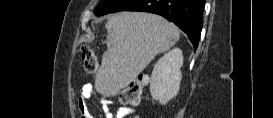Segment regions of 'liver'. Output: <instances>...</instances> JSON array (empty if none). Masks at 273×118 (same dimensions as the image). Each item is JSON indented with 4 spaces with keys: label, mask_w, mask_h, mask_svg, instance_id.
I'll list each match as a JSON object with an SVG mask.
<instances>
[{
    "label": "liver",
    "mask_w": 273,
    "mask_h": 118,
    "mask_svg": "<svg viewBox=\"0 0 273 118\" xmlns=\"http://www.w3.org/2000/svg\"><path fill=\"white\" fill-rule=\"evenodd\" d=\"M105 27L107 50L96 73L95 89L107 97L126 88L180 36L173 23L145 12H119L108 19Z\"/></svg>",
    "instance_id": "6515ba94"
}]
</instances>
